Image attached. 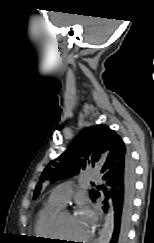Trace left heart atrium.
I'll return each mask as SVG.
<instances>
[{
    "label": "left heart atrium",
    "mask_w": 154,
    "mask_h": 243,
    "mask_svg": "<svg viewBox=\"0 0 154 243\" xmlns=\"http://www.w3.org/2000/svg\"><path fill=\"white\" fill-rule=\"evenodd\" d=\"M74 218L75 220L81 222L85 226L88 233H90L95 223V215L89 206L82 205L78 209Z\"/></svg>",
    "instance_id": "obj_1"
}]
</instances>
